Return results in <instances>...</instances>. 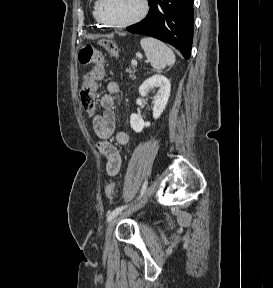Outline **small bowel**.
Returning a JSON list of instances; mask_svg holds the SVG:
<instances>
[{
  "mask_svg": "<svg viewBox=\"0 0 273 288\" xmlns=\"http://www.w3.org/2000/svg\"><path fill=\"white\" fill-rule=\"evenodd\" d=\"M121 86L118 82H110L107 91L100 97V105L103 108L101 114H96L92 125L95 134L99 138L98 150L106 162V171L110 176H116L121 167V156L118 149L110 142L116 128V118L113 111L114 98L120 93ZM119 145H125L129 141V135L125 130H120L115 136Z\"/></svg>",
  "mask_w": 273,
  "mask_h": 288,
  "instance_id": "obj_1",
  "label": "small bowel"
}]
</instances>
